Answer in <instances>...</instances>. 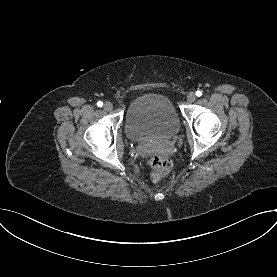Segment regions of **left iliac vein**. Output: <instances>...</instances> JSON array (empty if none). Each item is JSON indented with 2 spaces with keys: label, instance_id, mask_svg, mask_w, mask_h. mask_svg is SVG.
Instances as JSON below:
<instances>
[{
  "label": "left iliac vein",
  "instance_id": "left-iliac-vein-1",
  "mask_svg": "<svg viewBox=\"0 0 277 277\" xmlns=\"http://www.w3.org/2000/svg\"><path fill=\"white\" fill-rule=\"evenodd\" d=\"M187 100L189 102H194L196 100V95L194 92H189L187 95Z\"/></svg>",
  "mask_w": 277,
  "mask_h": 277
}]
</instances>
